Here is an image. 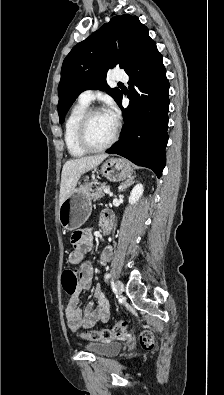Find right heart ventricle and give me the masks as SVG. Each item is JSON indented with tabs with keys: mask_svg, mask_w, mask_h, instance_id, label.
Listing matches in <instances>:
<instances>
[{
	"mask_svg": "<svg viewBox=\"0 0 224 395\" xmlns=\"http://www.w3.org/2000/svg\"><path fill=\"white\" fill-rule=\"evenodd\" d=\"M87 109L88 104L79 101L71 109L65 121V144L69 154L75 158H80L87 153L79 144L77 136L78 123Z\"/></svg>",
	"mask_w": 224,
	"mask_h": 395,
	"instance_id": "1",
	"label": "right heart ventricle"
}]
</instances>
